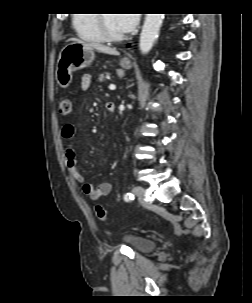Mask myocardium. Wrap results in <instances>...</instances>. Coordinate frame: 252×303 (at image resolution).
I'll return each instance as SVG.
<instances>
[{
    "instance_id": "myocardium-1",
    "label": "myocardium",
    "mask_w": 252,
    "mask_h": 303,
    "mask_svg": "<svg viewBox=\"0 0 252 303\" xmlns=\"http://www.w3.org/2000/svg\"><path fill=\"white\" fill-rule=\"evenodd\" d=\"M98 20H99L100 29L102 31V34H103L105 40H108V41H122L127 37V34H125V33L115 34L107 28L105 14H98Z\"/></svg>"
}]
</instances>
